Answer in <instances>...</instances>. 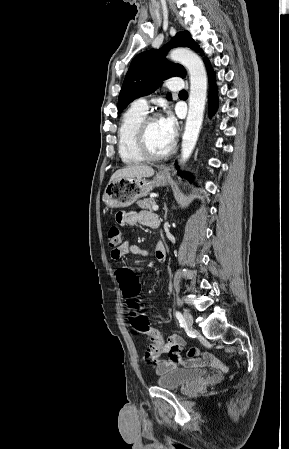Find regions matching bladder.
I'll list each match as a JSON object with an SVG mask.
<instances>
[{
  "mask_svg": "<svg viewBox=\"0 0 289 449\" xmlns=\"http://www.w3.org/2000/svg\"><path fill=\"white\" fill-rule=\"evenodd\" d=\"M207 374L205 369L199 368H176L161 374L156 384L165 389H178L200 380Z\"/></svg>",
  "mask_w": 289,
  "mask_h": 449,
  "instance_id": "obj_1",
  "label": "bladder"
}]
</instances>
